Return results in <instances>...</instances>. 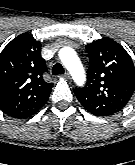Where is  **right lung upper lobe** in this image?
<instances>
[{"mask_svg":"<svg viewBox=\"0 0 135 165\" xmlns=\"http://www.w3.org/2000/svg\"><path fill=\"white\" fill-rule=\"evenodd\" d=\"M41 43L29 33L14 38L0 54V108L15 118L35 114L47 102L53 84L40 55Z\"/></svg>","mask_w":135,"mask_h":165,"instance_id":"cb5924a9","label":"right lung upper lobe"}]
</instances>
